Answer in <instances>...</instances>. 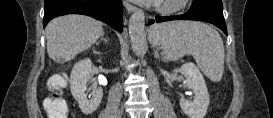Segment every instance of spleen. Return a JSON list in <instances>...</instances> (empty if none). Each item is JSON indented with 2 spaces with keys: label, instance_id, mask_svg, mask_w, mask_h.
<instances>
[{
  "label": "spleen",
  "instance_id": "spleen-1",
  "mask_svg": "<svg viewBox=\"0 0 273 118\" xmlns=\"http://www.w3.org/2000/svg\"><path fill=\"white\" fill-rule=\"evenodd\" d=\"M149 41L162 49L164 60L177 61L186 54L213 82L224 72V44L219 33L207 24L196 21H172L151 27Z\"/></svg>",
  "mask_w": 273,
  "mask_h": 118
}]
</instances>
